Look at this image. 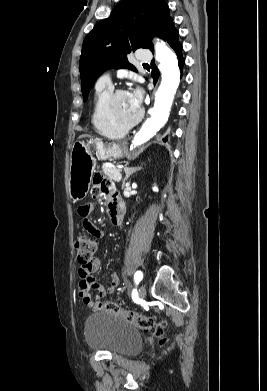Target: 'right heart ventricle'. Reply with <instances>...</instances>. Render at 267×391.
I'll return each instance as SVG.
<instances>
[{"label": "right heart ventricle", "mask_w": 267, "mask_h": 391, "mask_svg": "<svg viewBox=\"0 0 267 391\" xmlns=\"http://www.w3.org/2000/svg\"><path fill=\"white\" fill-rule=\"evenodd\" d=\"M112 92L110 87L96 88L92 108V124L102 136L116 139L123 137L127 130L117 127L111 122L106 112V101Z\"/></svg>", "instance_id": "e07e8e85"}]
</instances>
